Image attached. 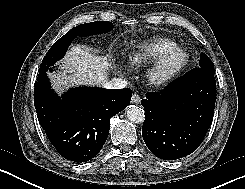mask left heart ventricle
<instances>
[{
	"instance_id": "obj_1",
	"label": "left heart ventricle",
	"mask_w": 245,
	"mask_h": 189,
	"mask_svg": "<svg viewBox=\"0 0 245 189\" xmlns=\"http://www.w3.org/2000/svg\"><path fill=\"white\" fill-rule=\"evenodd\" d=\"M182 58H183L182 54L174 55L170 60V63H169L170 66L177 64L178 62H180L182 60Z\"/></svg>"
}]
</instances>
